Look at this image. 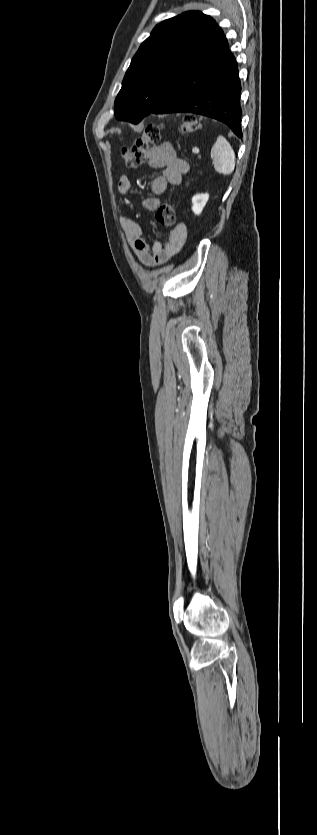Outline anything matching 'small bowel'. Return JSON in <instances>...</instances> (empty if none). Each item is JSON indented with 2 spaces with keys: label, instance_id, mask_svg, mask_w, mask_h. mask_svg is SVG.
<instances>
[{
  "label": "small bowel",
  "instance_id": "obj_1",
  "mask_svg": "<svg viewBox=\"0 0 317 835\" xmlns=\"http://www.w3.org/2000/svg\"><path fill=\"white\" fill-rule=\"evenodd\" d=\"M147 163L153 168L162 169L161 175L155 177L151 182L152 196L143 200L145 209L155 211L160 205L159 196L166 191L168 185H179L181 183L183 175L189 171V164L177 155L176 150L170 143H162L151 147L147 154ZM117 188L121 194L130 195L133 183L129 177L122 175L119 178ZM120 223L137 259L148 268H154L167 262L182 249L187 238V228L183 223H180L171 231L164 245L160 242L148 244L144 239L143 229L138 222L127 217H121Z\"/></svg>",
  "mask_w": 317,
  "mask_h": 835
}]
</instances>
